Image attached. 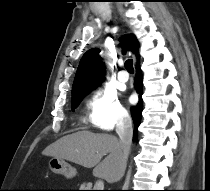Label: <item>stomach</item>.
Instances as JSON below:
<instances>
[{
  "instance_id": "0dacf381",
  "label": "stomach",
  "mask_w": 210,
  "mask_h": 191,
  "mask_svg": "<svg viewBox=\"0 0 210 191\" xmlns=\"http://www.w3.org/2000/svg\"><path fill=\"white\" fill-rule=\"evenodd\" d=\"M49 167L52 172L61 174L66 178L70 179L76 176V169L68 164L65 160L58 158H51L49 161Z\"/></svg>"
}]
</instances>
